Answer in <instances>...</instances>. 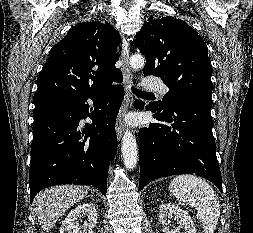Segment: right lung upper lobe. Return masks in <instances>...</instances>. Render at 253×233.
Segmentation results:
<instances>
[{"label":"right lung upper lobe","mask_w":253,"mask_h":233,"mask_svg":"<svg viewBox=\"0 0 253 233\" xmlns=\"http://www.w3.org/2000/svg\"><path fill=\"white\" fill-rule=\"evenodd\" d=\"M119 33L97 20L78 23L49 52L37 78L34 103L76 97L105 88L121 75L115 67Z\"/></svg>","instance_id":"obj_1"}]
</instances>
